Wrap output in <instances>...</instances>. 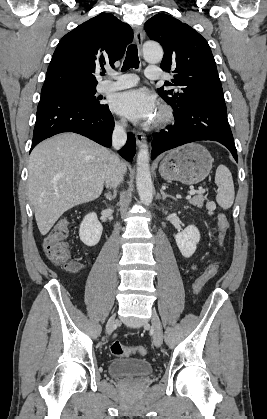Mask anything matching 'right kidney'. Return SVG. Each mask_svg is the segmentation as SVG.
Here are the masks:
<instances>
[{
  "mask_svg": "<svg viewBox=\"0 0 267 419\" xmlns=\"http://www.w3.org/2000/svg\"><path fill=\"white\" fill-rule=\"evenodd\" d=\"M103 227L98 221L96 213L87 214L80 224L79 236L81 241L87 246H95L102 235Z\"/></svg>",
  "mask_w": 267,
  "mask_h": 419,
  "instance_id": "ca27d5eb",
  "label": "right kidney"
}]
</instances>
